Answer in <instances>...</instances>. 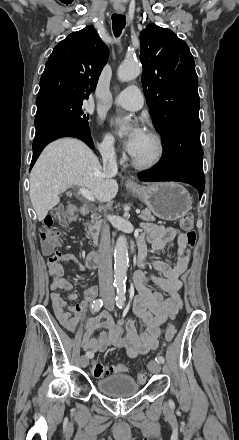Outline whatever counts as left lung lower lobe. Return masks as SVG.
Here are the masks:
<instances>
[{"label": "left lung lower lobe", "mask_w": 239, "mask_h": 440, "mask_svg": "<svg viewBox=\"0 0 239 440\" xmlns=\"http://www.w3.org/2000/svg\"><path fill=\"white\" fill-rule=\"evenodd\" d=\"M200 130L199 120H184L170 126L162 136L164 153L160 164L138 177L146 181L189 183L198 190L201 198L205 176Z\"/></svg>", "instance_id": "left-lung-lower-lobe-1"}]
</instances>
